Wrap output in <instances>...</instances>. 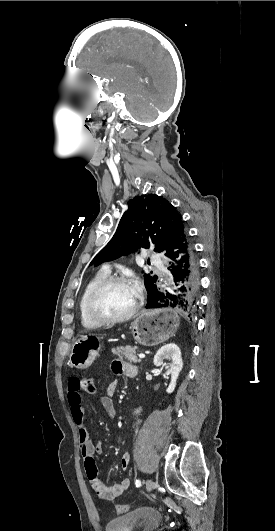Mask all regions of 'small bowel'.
Here are the masks:
<instances>
[{"instance_id":"c3829d8e","label":"small bowel","mask_w":275,"mask_h":531,"mask_svg":"<svg viewBox=\"0 0 275 531\" xmlns=\"http://www.w3.org/2000/svg\"><path fill=\"white\" fill-rule=\"evenodd\" d=\"M112 371L118 376L133 377L137 373L135 365L115 359L112 362ZM68 382L64 386V391L67 394V400L70 406V414L73 423L78 428L79 449L84 458L85 472L91 483L92 488L102 500L111 501L123 494L130 486V479L128 477L122 478L118 483L108 486L98 476V471L95 463V456L103 451L102 442L97 440L92 442L89 438L87 428L85 426V412L79 396L81 391V375L79 373H70L68 375ZM119 381L112 382L106 390V394L101 397L100 403L106 410L110 417L116 416V410L112 401V396L117 390ZM142 409L139 408L135 413L133 430H136L141 421ZM131 454L126 451L120 458V465L122 469L127 470L130 467Z\"/></svg>"}]
</instances>
